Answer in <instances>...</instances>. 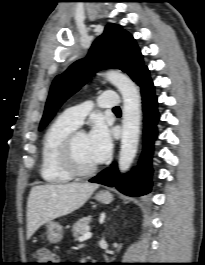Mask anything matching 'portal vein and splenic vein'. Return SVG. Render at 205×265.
I'll list each match as a JSON object with an SVG mask.
<instances>
[{"instance_id": "portal-vein-and-splenic-vein-1", "label": "portal vein and splenic vein", "mask_w": 205, "mask_h": 265, "mask_svg": "<svg viewBox=\"0 0 205 265\" xmlns=\"http://www.w3.org/2000/svg\"><path fill=\"white\" fill-rule=\"evenodd\" d=\"M91 237H92V233H91L90 231H87V232H85L84 234H82V236L79 237L78 240H79L80 242H82V241H85V240H87V239H89V238H91Z\"/></svg>"}]
</instances>
